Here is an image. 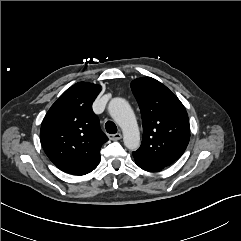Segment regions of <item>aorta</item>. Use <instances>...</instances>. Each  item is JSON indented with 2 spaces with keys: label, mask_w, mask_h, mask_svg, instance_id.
Listing matches in <instances>:
<instances>
[{
  "label": "aorta",
  "mask_w": 241,
  "mask_h": 241,
  "mask_svg": "<svg viewBox=\"0 0 241 241\" xmlns=\"http://www.w3.org/2000/svg\"><path fill=\"white\" fill-rule=\"evenodd\" d=\"M108 111L123 131L125 146L136 150L140 145V132L134 112L123 98H114L109 102Z\"/></svg>",
  "instance_id": "762f6f07"
}]
</instances>
